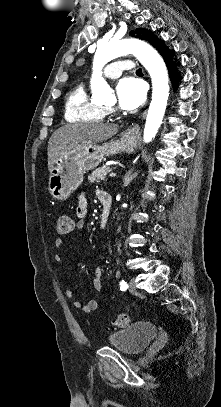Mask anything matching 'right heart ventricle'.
<instances>
[{"label":"right heart ventricle","mask_w":221,"mask_h":407,"mask_svg":"<svg viewBox=\"0 0 221 407\" xmlns=\"http://www.w3.org/2000/svg\"><path fill=\"white\" fill-rule=\"evenodd\" d=\"M108 111L88 94L84 82L77 83L68 93L65 102V119L69 122L102 121Z\"/></svg>","instance_id":"1"}]
</instances>
